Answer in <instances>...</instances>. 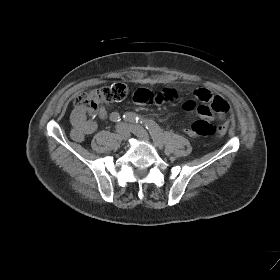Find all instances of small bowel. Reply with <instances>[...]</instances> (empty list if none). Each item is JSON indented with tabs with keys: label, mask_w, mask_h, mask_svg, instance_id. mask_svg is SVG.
<instances>
[{
	"label": "small bowel",
	"mask_w": 280,
	"mask_h": 280,
	"mask_svg": "<svg viewBox=\"0 0 280 280\" xmlns=\"http://www.w3.org/2000/svg\"><path fill=\"white\" fill-rule=\"evenodd\" d=\"M177 96V91L174 88H165L159 92H153L148 89H137L133 95L135 102L139 104H161L166 101H171ZM194 100L186 101L183 104V108L188 112H195L200 119L213 120L217 117L219 120L224 121L226 114L230 107L225 99L218 96L206 88H199L194 92ZM107 111L105 108H100L99 117L101 119L106 118ZM71 123L73 126L71 135L76 141H81L86 135L93 133L96 130V122L87 119L85 112L81 109L75 108L71 115ZM229 121H225L220 126L227 130ZM184 132L190 136L196 135L190 128L184 130Z\"/></svg>",
	"instance_id": "1"
}]
</instances>
